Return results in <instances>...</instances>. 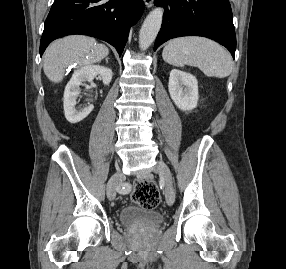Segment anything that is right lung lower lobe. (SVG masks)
<instances>
[{"label": "right lung lower lobe", "mask_w": 286, "mask_h": 269, "mask_svg": "<svg viewBox=\"0 0 286 269\" xmlns=\"http://www.w3.org/2000/svg\"><path fill=\"white\" fill-rule=\"evenodd\" d=\"M143 10V0H55L45 21L40 55L50 42L71 34L97 37L121 54Z\"/></svg>", "instance_id": "1"}]
</instances>
